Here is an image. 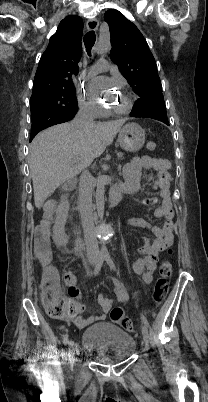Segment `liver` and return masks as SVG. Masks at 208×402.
<instances>
[{
  "label": "liver",
  "mask_w": 208,
  "mask_h": 402,
  "mask_svg": "<svg viewBox=\"0 0 208 402\" xmlns=\"http://www.w3.org/2000/svg\"><path fill=\"white\" fill-rule=\"evenodd\" d=\"M124 122H93L84 128L59 124L38 134L32 142L29 166L36 208L40 210L58 186L76 176L81 164L99 158Z\"/></svg>",
  "instance_id": "obj_1"
}]
</instances>
